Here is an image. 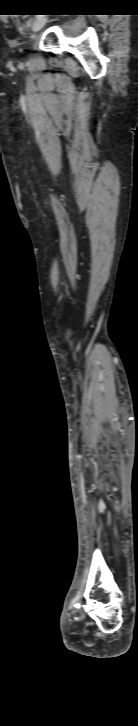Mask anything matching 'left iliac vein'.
Masks as SVG:
<instances>
[{"instance_id": "obj_1", "label": "left iliac vein", "mask_w": 138, "mask_h": 726, "mask_svg": "<svg viewBox=\"0 0 138 726\" xmlns=\"http://www.w3.org/2000/svg\"><path fill=\"white\" fill-rule=\"evenodd\" d=\"M46 21L47 20H46V18L44 16H38L36 18V20L33 22L32 31L34 33L40 31L44 27V25L46 24Z\"/></svg>"}]
</instances>
